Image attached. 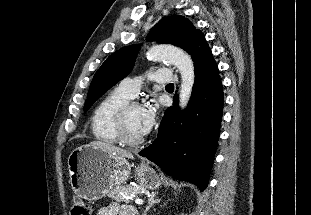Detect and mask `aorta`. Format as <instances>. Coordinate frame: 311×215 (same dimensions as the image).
Masks as SVG:
<instances>
[{
    "label": "aorta",
    "mask_w": 311,
    "mask_h": 215,
    "mask_svg": "<svg viewBox=\"0 0 311 215\" xmlns=\"http://www.w3.org/2000/svg\"><path fill=\"white\" fill-rule=\"evenodd\" d=\"M147 56L156 61H168L179 69L181 74L179 105L181 109L185 108L195 81L194 64L190 55L171 45H157L149 49Z\"/></svg>",
    "instance_id": "1"
}]
</instances>
